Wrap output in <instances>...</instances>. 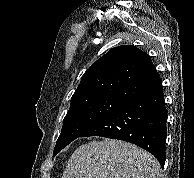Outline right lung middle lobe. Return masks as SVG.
Listing matches in <instances>:
<instances>
[{
  "label": "right lung middle lobe",
  "instance_id": "1",
  "mask_svg": "<svg viewBox=\"0 0 194 178\" xmlns=\"http://www.w3.org/2000/svg\"><path fill=\"white\" fill-rule=\"evenodd\" d=\"M124 101L110 98H88L71 102L53 155L80 137L85 131L117 109Z\"/></svg>",
  "mask_w": 194,
  "mask_h": 178
}]
</instances>
